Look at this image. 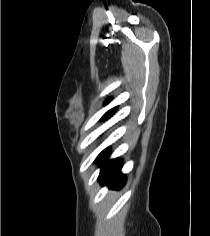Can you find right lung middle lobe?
<instances>
[{"label": "right lung middle lobe", "mask_w": 210, "mask_h": 236, "mask_svg": "<svg viewBox=\"0 0 210 236\" xmlns=\"http://www.w3.org/2000/svg\"><path fill=\"white\" fill-rule=\"evenodd\" d=\"M116 108H113L111 110H109L104 116L102 119H106L108 117H110L114 112H115Z\"/></svg>", "instance_id": "obj_1"}]
</instances>
